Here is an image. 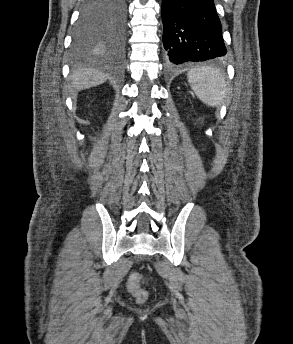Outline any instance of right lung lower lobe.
Masks as SVG:
<instances>
[{"instance_id": "right-lung-lower-lobe-1", "label": "right lung lower lobe", "mask_w": 293, "mask_h": 344, "mask_svg": "<svg viewBox=\"0 0 293 344\" xmlns=\"http://www.w3.org/2000/svg\"><path fill=\"white\" fill-rule=\"evenodd\" d=\"M98 0H84V4H87L89 2H95ZM89 5L93 6V5H97L94 3H90ZM123 22L116 28H111L110 29V33L112 35L113 38V42L112 45L115 47H122L123 42H124V35H125V18H126V5H125V0H123Z\"/></svg>"}]
</instances>
